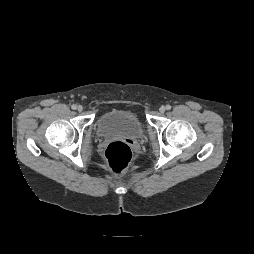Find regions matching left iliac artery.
Returning <instances> with one entry per match:
<instances>
[{"mask_svg": "<svg viewBox=\"0 0 254 254\" xmlns=\"http://www.w3.org/2000/svg\"><path fill=\"white\" fill-rule=\"evenodd\" d=\"M166 109H167V110H170V109H171V106H170V105H166Z\"/></svg>", "mask_w": 254, "mask_h": 254, "instance_id": "44dca946", "label": "left iliac artery"}]
</instances>
